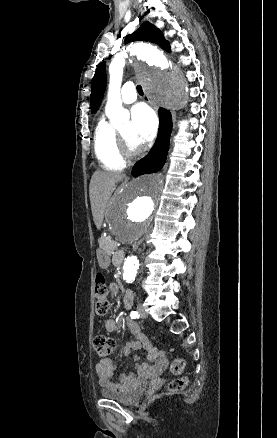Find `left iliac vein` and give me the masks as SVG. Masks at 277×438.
Wrapping results in <instances>:
<instances>
[{
  "label": "left iliac vein",
  "instance_id": "1",
  "mask_svg": "<svg viewBox=\"0 0 277 438\" xmlns=\"http://www.w3.org/2000/svg\"><path fill=\"white\" fill-rule=\"evenodd\" d=\"M137 309H138V312H139V314H140V316L142 318H146L147 317V313H146V311H145V309H144L142 304H138Z\"/></svg>",
  "mask_w": 277,
  "mask_h": 438
}]
</instances>
